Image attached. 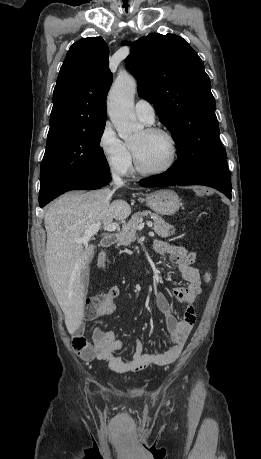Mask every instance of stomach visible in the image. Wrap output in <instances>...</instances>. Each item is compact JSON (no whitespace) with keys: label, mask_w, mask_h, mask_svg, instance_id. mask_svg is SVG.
<instances>
[{"label":"stomach","mask_w":261,"mask_h":459,"mask_svg":"<svg viewBox=\"0 0 261 459\" xmlns=\"http://www.w3.org/2000/svg\"><path fill=\"white\" fill-rule=\"evenodd\" d=\"M146 202L160 215H174L182 205L177 193L170 189H160L148 194Z\"/></svg>","instance_id":"obj_1"}]
</instances>
